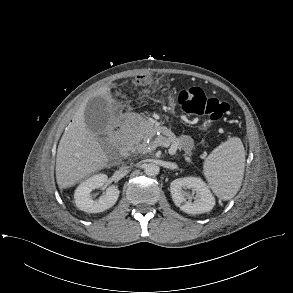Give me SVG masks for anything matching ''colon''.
<instances>
[{
    "mask_svg": "<svg viewBox=\"0 0 293 293\" xmlns=\"http://www.w3.org/2000/svg\"><path fill=\"white\" fill-rule=\"evenodd\" d=\"M178 103L186 114L205 116L210 120L220 119L229 110L228 103L208 96L198 86L182 89L178 94Z\"/></svg>",
    "mask_w": 293,
    "mask_h": 293,
    "instance_id": "colon-1",
    "label": "colon"
}]
</instances>
